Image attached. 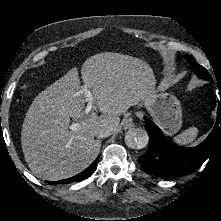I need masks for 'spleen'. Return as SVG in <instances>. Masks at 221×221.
I'll use <instances>...</instances> for the list:
<instances>
[{
    "instance_id": "spleen-1",
    "label": "spleen",
    "mask_w": 221,
    "mask_h": 221,
    "mask_svg": "<svg viewBox=\"0 0 221 221\" xmlns=\"http://www.w3.org/2000/svg\"><path fill=\"white\" fill-rule=\"evenodd\" d=\"M198 135L197 127H190L174 137L173 141L178 145H187L192 143Z\"/></svg>"
}]
</instances>
